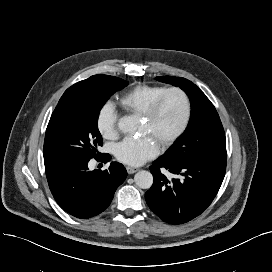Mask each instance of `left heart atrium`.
Masks as SVG:
<instances>
[{
  "label": "left heart atrium",
  "instance_id": "left-heart-atrium-1",
  "mask_svg": "<svg viewBox=\"0 0 272 272\" xmlns=\"http://www.w3.org/2000/svg\"><path fill=\"white\" fill-rule=\"evenodd\" d=\"M157 145L150 139L125 138L115 145L114 155L118 161L130 165L140 166L158 154Z\"/></svg>",
  "mask_w": 272,
  "mask_h": 272
}]
</instances>
